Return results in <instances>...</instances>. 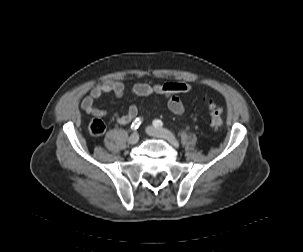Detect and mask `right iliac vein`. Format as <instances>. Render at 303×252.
<instances>
[{
	"label": "right iliac vein",
	"mask_w": 303,
	"mask_h": 252,
	"mask_svg": "<svg viewBox=\"0 0 303 252\" xmlns=\"http://www.w3.org/2000/svg\"><path fill=\"white\" fill-rule=\"evenodd\" d=\"M138 140H139V135L138 133L135 132L129 137L128 142L129 144H136Z\"/></svg>",
	"instance_id": "obj_1"
}]
</instances>
